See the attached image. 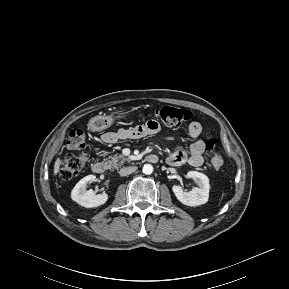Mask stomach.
<instances>
[{
    "label": "stomach",
    "instance_id": "1",
    "mask_svg": "<svg viewBox=\"0 0 289 289\" xmlns=\"http://www.w3.org/2000/svg\"><path fill=\"white\" fill-rule=\"evenodd\" d=\"M126 116L125 112L114 115H98L91 118L88 122V129L91 131H103L113 125L116 119H121Z\"/></svg>",
    "mask_w": 289,
    "mask_h": 289
}]
</instances>
